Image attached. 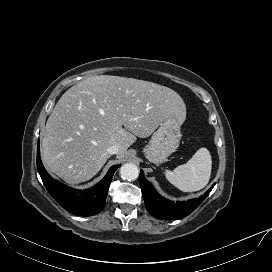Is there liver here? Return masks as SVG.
I'll return each mask as SVG.
<instances>
[{"mask_svg":"<svg viewBox=\"0 0 272 272\" xmlns=\"http://www.w3.org/2000/svg\"><path fill=\"white\" fill-rule=\"evenodd\" d=\"M170 116L182 124L186 106L168 87L120 76L88 77L52 110L42 138L43 163L68 184L85 182L109 159L108 147L118 145L121 159L136 137H149Z\"/></svg>","mask_w":272,"mask_h":272,"instance_id":"1","label":"liver"}]
</instances>
